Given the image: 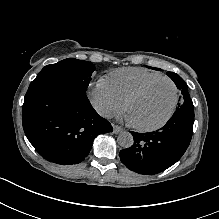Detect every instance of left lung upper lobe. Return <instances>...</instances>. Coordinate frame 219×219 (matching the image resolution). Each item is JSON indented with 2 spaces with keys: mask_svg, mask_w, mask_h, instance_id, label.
<instances>
[{
  "mask_svg": "<svg viewBox=\"0 0 219 219\" xmlns=\"http://www.w3.org/2000/svg\"><path fill=\"white\" fill-rule=\"evenodd\" d=\"M154 70H160L159 68L150 67ZM167 75L174 81L177 88L180 89L182 96H180V103H178L177 111H194L192 100L190 99L188 88L185 81L174 72H167Z\"/></svg>",
  "mask_w": 219,
  "mask_h": 219,
  "instance_id": "1",
  "label": "left lung upper lobe"
}]
</instances>
